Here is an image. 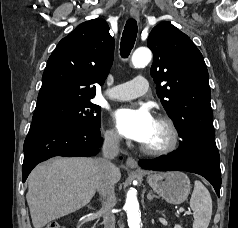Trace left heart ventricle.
Wrapping results in <instances>:
<instances>
[{"instance_id": "obj_1", "label": "left heart ventricle", "mask_w": 238, "mask_h": 228, "mask_svg": "<svg viewBox=\"0 0 238 228\" xmlns=\"http://www.w3.org/2000/svg\"><path fill=\"white\" fill-rule=\"evenodd\" d=\"M167 140L168 133L166 128L158 122H155L152 134L143 144L149 147H160L164 145Z\"/></svg>"}]
</instances>
